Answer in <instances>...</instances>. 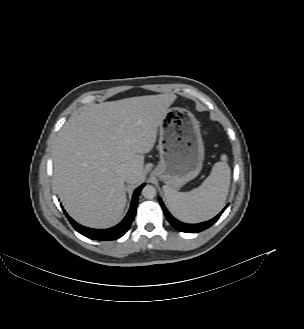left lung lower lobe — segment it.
Listing matches in <instances>:
<instances>
[{
  "label": "left lung lower lobe",
  "mask_w": 304,
  "mask_h": 329,
  "mask_svg": "<svg viewBox=\"0 0 304 329\" xmlns=\"http://www.w3.org/2000/svg\"><path fill=\"white\" fill-rule=\"evenodd\" d=\"M160 204H161L164 214L166 215L170 224L181 232H201V231L209 228L212 224H214L219 219V217L222 215V213L228 206L227 205L216 217H214L213 219H211L209 221H206L203 223H198V224H186V223L180 222L177 219H175L165 208L161 199H160Z\"/></svg>",
  "instance_id": "obj_1"
}]
</instances>
